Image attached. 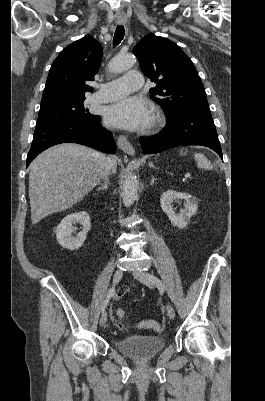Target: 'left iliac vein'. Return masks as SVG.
Wrapping results in <instances>:
<instances>
[{
	"instance_id": "1",
	"label": "left iliac vein",
	"mask_w": 265,
	"mask_h": 401,
	"mask_svg": "<svg viewBox=\"0 0 265 401\" xmlns=\"http://www.w3.org/2000/svg\"><path fill=\"white\" fill-rule=\"evenodd\" d=\"M133 276L143 284H152L153 275L145 271H133ZM167 315L170 319L175 318V310L171 304L167 306Z\"/></svg>"
}]
</instances>
